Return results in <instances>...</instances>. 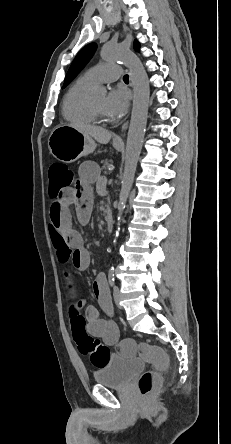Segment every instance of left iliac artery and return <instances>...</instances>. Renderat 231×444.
Masks as SVG:
<instances>
[{
    "label": "left iliac artery",
    "instance_id": "44dca946",
    "mask_svg": "<svg viewBox=\"0 0 231 444\" xmlns=\"http://www.w3.org/2000/svg\"><path fill=\"white\" fill-rule=\"evenodd\" d=\"M112 270H113V268L109 271V275H108V280H109V283L111 286L114 285V281H115L114 273Z\"/></svg>",
    "mask_w": 231,
    "mask_h": 444
}]
</instances>
